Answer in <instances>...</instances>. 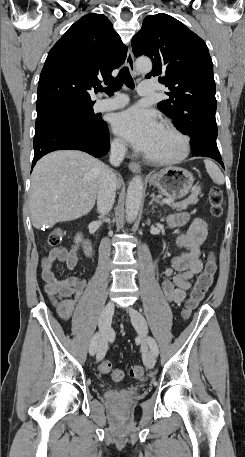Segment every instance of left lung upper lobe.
Segmentation results:
<instances>
[{"instance_id": "obj_1", "label": "left lung upper lobe", "mask_w": 245, "mask_h": 457, "mask_svg": "<svg viewBox=\"0 0 245 457\" xmlns=\"http://www.w3.org/2000/svg\"><path fill=\"white\" fill-rule=\"evenodd\" d=\"M131 44L136 57L146 55L153 62L146 78L159 76L170 90L169 99L159 102L158 108L177 122L176 127L192 115L215 114L213 64L199 36L172 16L159 13L145 17Z\"/></svg>"}]
</instances>
